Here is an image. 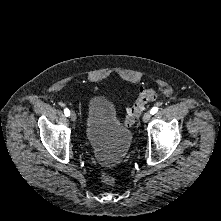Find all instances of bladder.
<instances>
[{
    "label": "bladder",
    "instance_id": "31cf9c89",
    "mask_svg": "<svg viewBox=\"0 0 221 221\" xmlns=\"http://www.w3.org/2000/svg\"><path fill=\"white\" fill-rule=\"evenodd\" d=\"M85 135L95 158L106 167L119 164L132 144L130 128L119 122L114 102L103 95L88 101Z\"/></svg>",
    "mask_w": 221,
    "mask_h": 221
}]
</instances>
